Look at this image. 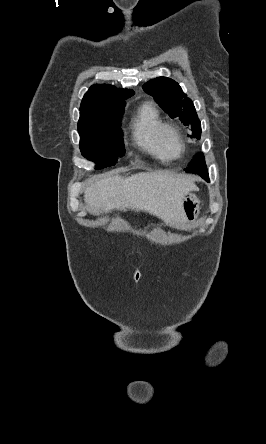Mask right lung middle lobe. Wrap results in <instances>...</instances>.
I'll return each mask as SVG.
<instances>
[{
    "mask_svg": "<svg viewBox=\"0 0 266 444\" xmlns=\"http://www.w3.org/2000/svg\"><path fill=\"white\" fill-rule=\"evenodd\" d=\"M126 103L106 102L80 110L78 132L82 155L97 164L96 169L115 165L125 154L121 118Z\"/></svg>",
    "mask_w": 266,
    "mask_h": 444,
    "instance_id": "dd1d6c3e",
    "label": "right lung middle lobe"
}]
</instances>
